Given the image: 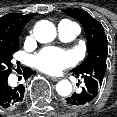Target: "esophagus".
<instances>
[{"label": "esophagus", "mask_w": 117, "mask_h": 117, "mask_svg": "<svg viewBox=\"0 0 117 117\" xmlns=\"http://www.w3.org/2000/svg\"><path fill=\"white\" fill-rule=\"evenodd\" d=\"M50 79L53 80V81H59L60 80L59 77H50Z\"/></svg>", "instance_id": "34e87169"}]
</instances>
